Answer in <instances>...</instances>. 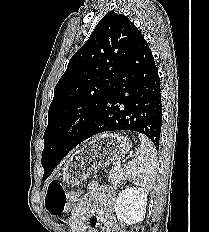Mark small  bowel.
Wrapping results in <instances>:
<instances>
[{
  "instance_id": "obj_1",
  "label": "small bowel",
  "mask_w": 209,
  "mask_h": 232,
  "mask_svg": "<svg viewBox=\"0 0 209 232\" xmlns=\"http://www.w3.org/2000/svg\"><path fill=\"white\" fill-rule=\"evenodd\" d=\"M115 196L111 189L97 181L88 184L86 193L72 207L68 225L71 232H98L102 225L109 232H126L112 216Z\"/></svg>"
}]
</instances>
